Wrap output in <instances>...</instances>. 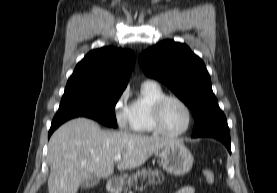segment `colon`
Instances as JSON below:
<instances>
[{"label": "colon", "mask_w": 277, "mask_h": 193, "mask_svg": "<svg viewBox=\"0 0 277 193\" xmlns=\"http://www.w3.org/2000/svg\"><path fill=\"white\" fill-rule=\"evenodd\" d=\"M203 176L208 184H213L215 182V174L212 170L205 169L203 171Z\"/></svg>", "instance_id": "1"}]
</instances>
